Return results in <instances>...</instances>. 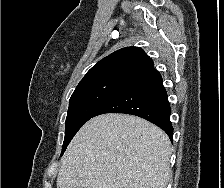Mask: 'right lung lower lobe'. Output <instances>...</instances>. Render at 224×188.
Returning <instances> with one entry per match:
<instances>
[{
    "mask_svg": "<svg viewBox=\"0 0 224 188\" xmlns=\"http://www.w3.org/2000/svg\"><path fill=\"white\" fill-rule=\"evenodd\" d=\"M104 113H125L144 118L162 128L172 141L170 104L162 77L153 66L132 79L103 104L93 117Z\"/></svg>",
    "mask_w": 224,
    "mask_h": 188,
    "instance_id": "right-lung-lower-lobe-1",
    "label": "right lung lower lobe"
}]
</instances>
